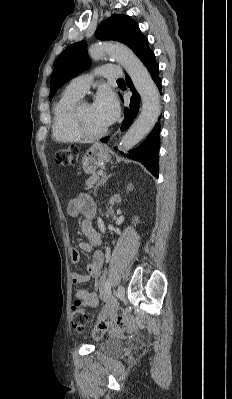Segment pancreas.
I'll use <instances>...</instances> for the list:
<instances>
[{
  "mask_svg": "<svg viewBox=\"0 0 232 399\" xmlns=\"http://www.w3.org/2000/svg\"><path fill=\"white\" fill-rule=\"evenodd\" d=\"M99 170L97 172H93L91 174L90 178H88L87 182H85L87 188H93L94 184H97V186H100V176H98Z\"/></svg>",
  "mask_w": 232,
  "mask_h": 399,
  "instance_id": "pancreas-1",
  "label": "pancreas"
}]
</instances>
